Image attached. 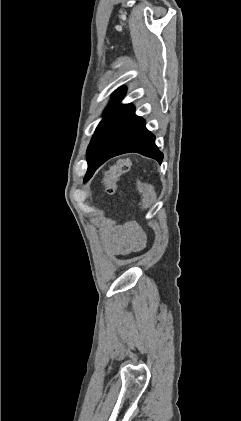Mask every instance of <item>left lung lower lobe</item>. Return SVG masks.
Instances as JSON below:
<instances>
[{
	"label": "left lung lower lobe",
	"instance_id": "1",
	"mask_svg": "<svg viewBox=\"0 0 241 421\" xmlns=\"http://www.w3.org/2000/svg\"><path fill=\"white\" fill-rule=\"evenodd\" d=\"M155 136L145 127V120L134 113V106L128 104L117 120L99 158L88 166L84 182L108 159L129 152L140 153L157 160L160 164L163 154L155 144Z\"/></svg>",
	"mask_w": 241,
	"mask_h": 421
}]
</instances>
